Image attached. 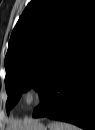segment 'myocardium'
<instances>
[{
    "mask_svg": "<svg viewBox=\"0 0 95 130\" xmlns=\"http://www.w3.org/2000/svg\"><path fill=\"white\" fill-rule=\"evenodd\" d=\"M44 90L38 84H29L23 87L18 94V103L23 108H33L41 103Z\"/></svg>",
    "mask_w": 95,
    "mask_h": 130,
    "instance_id": "1",
    "label": "myocardium"
}]
</instances>
